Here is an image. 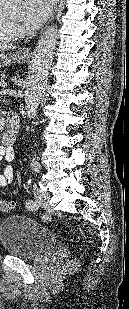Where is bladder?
I'll list each match as a JSON object with an SVG mask.
<instances>
[{
	"label": "bladder",
	"instance_id": "bladder-1",
	"mask_svg": "<svg viewBox=\"0 0 129 309\" xmlns=\"http://www.w3.org/2000/svg\"><path fill=\"white\" fill-rule=\"evenodd\" d=\"M0 243L12 256L32 259L56 247L51 230L24 215H12L0 222Z\"/></svg>",
	"mask_w": 129,
	"mask_h": 309
}]
</instances>
